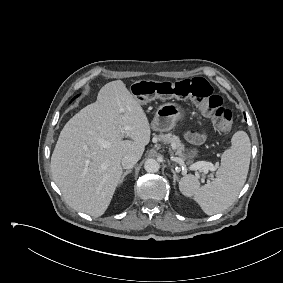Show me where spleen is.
<instances>
[{
	"instance_id": "obj_1",
	"label": "spleen",
	"mask_w": 283,
	"mask_h": 283,
	"mask_svg": "<svg viewBox=\"0 0 283 283\" xmlns=\"http://www.w3.org/2000/svg\"><path fill=\"white\" fill-rule=\"evenodd\" d=\"M231 143L232 146L222 154L220 168L212 182L200 186L192 174L179 181L182 194L193 197L207 215H214L231 206L246 181L251 156L250 139L244 131H238Z\"/></svg>"
}]
</instances>
